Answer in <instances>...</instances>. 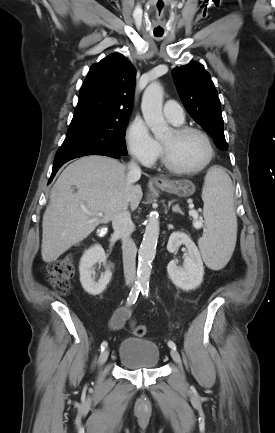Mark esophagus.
Masks as SVG:
<instances>
[{"label": "esophagus", "mask_w": 275, "mask_h": 433, "mask_svg": "<svg viewBox=\"0 0 275 433\" xmlns=\"http://www.w3.org/2000/svg\"><path fill=\"white\" fill-rule=\"evenodd\" d=\"M154 182H155L156 185H163V184L167 183V180L165 178H163V177H156L154 179Z\"/></svg>", "instance_id": "obj_1"}]
</instances>
